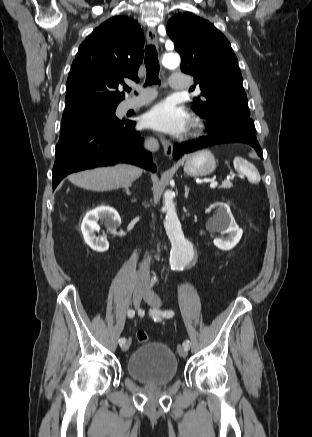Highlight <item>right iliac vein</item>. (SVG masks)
I'll return each instance as SVG.
<instances>
[{
	"label": "right iliac vein",
	"instance_id": "right-iliac-vein-1",
	"mask_svg": "<svg viewBox=\"0 0 312 437\" xmlns=\"http://www.w3.org/2000/svg\"><path fill=\"white\" fill-rule=\"evenodd\" d=\"M142 297H143V284L142 282L137 281L133 290V303L137 309L141 305ZM130 344H131L130 340H127L121 347L122 351H127L130 347Z\"/></svg>",
	"mask_w": 312,
	"mask_h": 437
}]
</instances>
